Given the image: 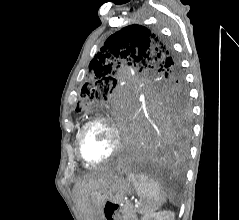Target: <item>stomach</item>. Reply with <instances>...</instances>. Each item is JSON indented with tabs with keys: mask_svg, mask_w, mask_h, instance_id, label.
Instances as JSON below:
<instances>
[{
	"mask_svg": "<svg viewBox=\"0 0 239 220\" xmlns=\"http://www.w3.org/2000/svg\"><path fill=\"white\" fill-rule=\"evenodd\" d=\"M133 191L134 188L129 181L117 176L105 186L92 190L89 194V204L95 213V220H123V212H118L122 210V205L118 204Z\"/></svg>",
	"mask_w": 239,
	"mask_h": 220,
	"instance_id": "obj_1",
	"label": "stomach"
}]
</instances>
